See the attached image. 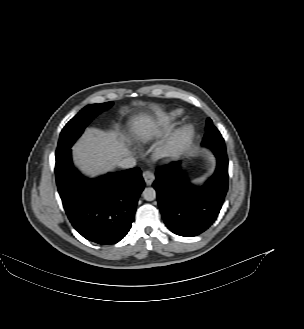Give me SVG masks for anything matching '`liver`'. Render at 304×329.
<instances>
[{
    "instance_id": "1",
    "label": "liver",
    "mask_w": 304,
    "mask_h": 329,
    "mask_svg": "<svg viewBox=\"0 0 304 329\" xmlns=\"http://www.w3.org/2000/svg\"><path fill=\"white\" fill-rule=\"evenodd\" d=\"M156 130L157 126L149 116L141 115L133 122L132 131L138 138H149ZM129 154L130 151L115 131L97 128H88L73 147L75 164L91 176L113 169L119 160Z\"/></svg>"
}]
</instances>
